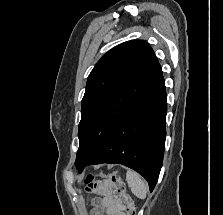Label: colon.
I'll return each mask as SVG.
<instances>
[{
	"instance_id": "obj_1",
	"label": "colon",
	"mask_w": 223,
	"mask_h": 215,
	"mask_svg": "<svg viewBox=\"0 0 223 215\" xmlns=\"http://www.w3.org/2000/svg\"><path fill=\"white\" fill-rule=\"evenodd\" d=\"M108 181L113 187L114 197L117 202L125 205L126 215H136V207L131 197L126 192L125 183L118 172H111L107 175ZM95 181V175L86 176L84 183L90 188Z\"/></svg>"
}]
</instances>
